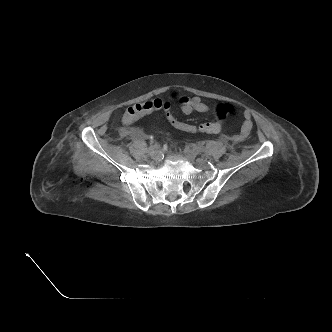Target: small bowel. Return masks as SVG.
Here are the masks:
<instances>
[{"label": "small bowel", "mask_w": 332, "mask_h": 332, "mask_svg": "<svg viewBox=\"0 0 332 332\" xmlns=\"http://www.w3.org/2000/svg\"><path fill=\"white\" fill-rule=\"evenodd\" d=\"M178 100L181 112L184 115H190L193 112L206 113L210 110V107L204 103L199 96H180ZM243 118L244 120L238 135L239 140L245 139L250 134L253 127L251 115L248 111L244 112Z\"/></svg>", "instance_id": "obj_1"}]
</instances>
